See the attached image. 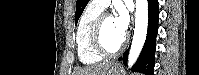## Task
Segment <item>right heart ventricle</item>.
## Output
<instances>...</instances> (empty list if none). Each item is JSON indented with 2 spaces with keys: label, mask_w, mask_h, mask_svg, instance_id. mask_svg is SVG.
I'll list each match as a JSON object with an SVG mask.
<instances>
[{
  "label": "right heart ventricle",
  "mask_w": 199,
  "mask_h": 75,
  "mask_svg": "<svg viewBox=\"0 0 199 75\" xmlns=\"http://www.w3.org/2000/svg\"><path fill=\"white\" fill-rule=\"evenodd\" d=\"M101 13V9L89 5L78 22L76 31L77 54L79 60L86 65L96 64L102 60V56L93 49L90 41L91 28Z\"/></svg>",
  "instance_id": "obj_1"
}]
</instances>
